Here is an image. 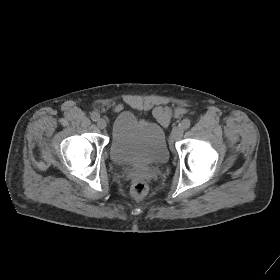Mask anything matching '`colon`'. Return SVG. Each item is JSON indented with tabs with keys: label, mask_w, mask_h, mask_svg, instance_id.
Here are the masks:
<instances>
[{
	"label": "colon",
	"mask_w": 280,
	"mask_h": 280,
	"mask_svg": "<svg viewBox=\"0 0 280 280\" xmlns=\"http://www.w3.org/2000/svg\"><path fill=\"white\" fill-rule=\"evenodd\" d=\"M130 192L134 198L141 199L147 194L148 186L144 181L137 180L132 184Z\"/></svg>",
	"instance_id": "obj_1"
}]
</instances>
